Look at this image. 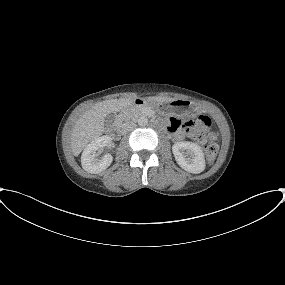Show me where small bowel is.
<instances>
[{
    "mask_svg": "<svg viewBox=\"0 0 285 285\" xmlns=\"http://www.w3.org/2000/svg\"><path fill=\"white\" fill-rule=\"evenodd\" d=\"M168 131L174 140H181L184 138V133L179 128L175 127L173 121H170Z\"/></svg>",
    "mask_w": 285,
    "mask_h": 285,
    "instance_id": "obj_1",
    "label": "small bowel"
}]
</instances>
